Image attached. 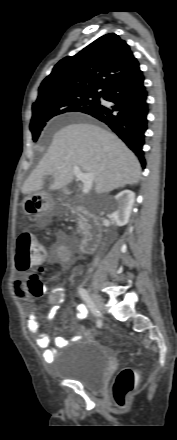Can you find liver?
<instances>
[{"label":"liver","instance_id":"6515ba94","mask_svg":"<svg viewBox=\"0 0 177 440\" xmlns=\"http://www.w3.org/2000/svg\"><path fill=\"white\" fill-rule=\"evenodd\" d=\"M74 166L94 174L98 194L137 184L141 176L137 157L115 134L97 125L77 123L54 134L47 153L24 182L22 193L43 189L49 175L53 176L50 190L65 187L74 179Z\"/></svg>","mask_w":177,"mask_h":440}]
</instances>
